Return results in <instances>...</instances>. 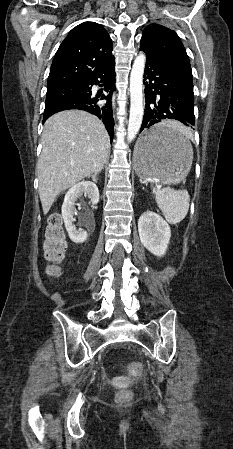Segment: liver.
I'll return each instance as SVG.
<instances>
[{
    "instance_id": "obj_1",
    "label": "liver",
    "mask_w": 233,
    "mask_h": 449,
    "mask_svg": "<svg viewBox=\"0 0 233 449\" xmlns=\"http://www.w3.org/2000/svg\"><path fill=\"white\" fill-rule=\"evenodd\" d=\"M165 123L182 128L177 122ZM109 147L104 124L88 112L62 111L45 122L36 166L44 214L62 191L101 170Z\"/></svg>"
}]
</instances>
